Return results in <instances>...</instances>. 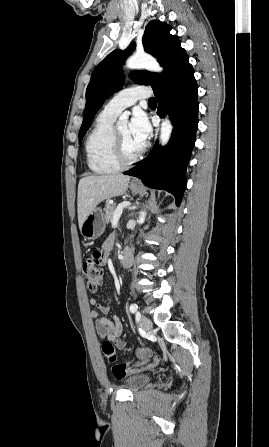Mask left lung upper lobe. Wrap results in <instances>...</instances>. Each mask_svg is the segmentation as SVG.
I'll list each match as a JSON object with an SVG mask.
<instances>
[{"label": "left lung upper lobe", "mask_w": 269, "mask_h": 447, "mask_svg": "<svg viewBox=\"0 0 269 447\" xmlns=\"http://www.w3.org/2000/svg\"><path fill=\"white\" fill-rule=\"evenodd\" d=\"M171 27L160 21H150L142 38L144 50L157 58L163 66L162 74L148 71H134L131 78L144 85H151L153 91L161 87L172 73L180 55L181 48L177 37L170 34ZM132 43L126 51L114 50L94 69L86 90V106L83 123L79 131V143L91 122L102 107L104 100L122 88L125 82L122 65L127 55L134 50Z\"/></svg>", "instance_id": "obj_1"}]
</instances>
